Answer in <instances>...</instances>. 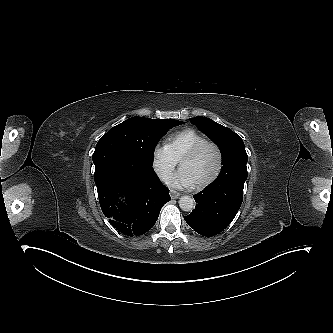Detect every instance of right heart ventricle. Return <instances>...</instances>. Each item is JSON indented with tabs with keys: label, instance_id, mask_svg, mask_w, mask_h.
<instances>
[{
	"label": "right heart ventricle",
	"instance_id": "right-heart-ventricle-1",
	"mask_svg": "<svg viewBox=\"0 0 333 333\" xmlns=\"http://www.w3.org/2000/svg\"><path fill=\"white\" fill-rule=\"evenodd\" d=\"M204 140L205 137L197 131L186 129L171 137L167 147L175 159L179 161L190 149Z\"/></svg>",
	"mask_w": 333,
	"mask_h": 333
}]
</instances>
